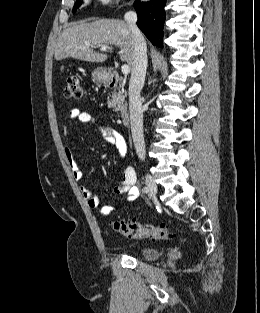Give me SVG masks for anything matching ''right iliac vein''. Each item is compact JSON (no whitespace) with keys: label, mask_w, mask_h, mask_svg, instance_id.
I'll return each mask as SVG.
<instances>
[{"label":"right iliac vein","mask_w":260,"mask_h":313,"mask_svg":"<svg viewBox=\"0 0 260 313\" xmlns=\"http://www.w3.org/2000/svg\"><path fill=\"white\" fill-rule=\"evenodd\" d=\"M145 182H146V185H147L149 197L151 199H155L156 198V194H157V190H158L157 184L155 183L154 179L149 174H146Z\"/></svg>","instance_id":"63e3f726"}]
</instances>
